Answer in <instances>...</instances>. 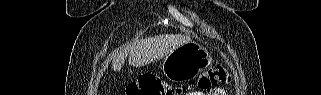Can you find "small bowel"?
<instances>
[{"instance_id": "obj_1", "label": "small bowel", "mask_w": 321, "mask_h": 95, "mask_svg": "<svg viewBox=\"0 0 321 95\" xmlns=\"http://www.w3.org/2000/svg\"><path fill=\"white\" fill-rule=\"evenodd\" d=\"M215 92H217V93H224L223 92V90H221V89H217ZM212 94V93H211ZM190 95H203L202 93H197V92H195V93H191Z\"/></svg>"}]
</instances>
